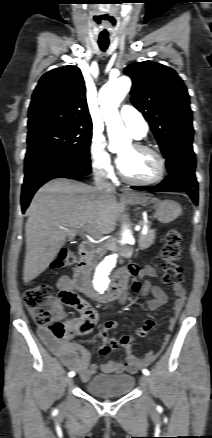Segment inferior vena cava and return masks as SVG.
<instances>
[{
	"mask_svg": "<svg viewBox=\"0 0 212 438\" xmlns=\"http://www.w3.org/2000/svg\"><path fill=\"white\" fill-rule=\"evenodd\" d=\"M94 185L95 189L99 192L114 191V187L107 181L106 173L101 169H97L95 172Z\"/></svg>",
	"mask_w": 212,
	"mask_h": 438,
	"instance_id": "602c4592",
	"label": "inferior vena cava"
}]
</instances>
